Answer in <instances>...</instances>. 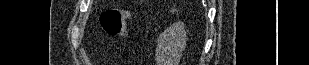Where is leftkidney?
Masks as SVG:
<instances>
[{
  "instance_id": "obj_1",
  "label": "left kidney",
  "mask_w": 309,
  "mask_h": 65,
  "mask_svg": "<svg viewBox=\"0 0 309 65\" xmlns=\"http://www.w3.org/2000/svg\"><path fill=\"white\" fill-rule=\"evenodd\" d=\"M185 25L176 22L159 36L155 51L157 65H179L187 40Z\"/></svg>"
}]
</instances>
